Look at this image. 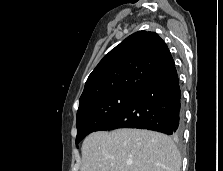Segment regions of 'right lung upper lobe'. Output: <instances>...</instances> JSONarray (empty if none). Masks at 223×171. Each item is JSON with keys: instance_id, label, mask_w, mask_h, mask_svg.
<instances>
[{"instance_id": "right-lung-upper-lobe-1", "label": "right lung upper lobe", "mask_w": 223, "mask_h": 171, "mask_svg": "<svg viewBox=\"0 0 223 171\" xmlns=\"http://www.w3.org/2000/svg\"><path fill=\"white\" fill-rule=\"evenodd\" d=\"M174 66L165 42L154 32L138 31L112 49L89 75L79 107L115 92L139 93Z\"/></svg>"}]
</instances>
